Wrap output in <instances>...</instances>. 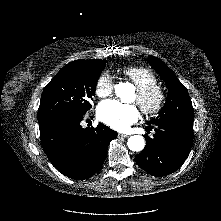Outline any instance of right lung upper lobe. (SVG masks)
<instances>
[{
	"instance_id": "1",
	"label": "right lung upper lobe",
	"mask_w": 221,
	"mask_h": 221,
	"mask_svg": "<svg viewBox=\"0 0 221 221\" xmlns=\"http://www.w3.org/2000/svg\"><path fill=\"white\" fill-rule=\"evenodd\" d=\"M85 62H88V63H91V64H99L101 61L91 60V61H85Z\"/></svg>"
}]
</instances>
